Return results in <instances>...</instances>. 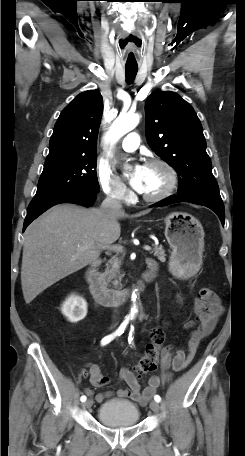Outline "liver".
I'll list each match as a JSON object with an SVG mask.
<instances>
[{
    "instance_id": "6515ba94",
    "label": "liver",
    "mask_w": 245,
    "mask_h": 456,
    "mask_svg": "<svg viewBox=\"0 0 245 456\" xmlns=\"http://www.w3.org/2000/svg\"><path fill=\"white\" fill-rule=\"evenodd\" d=\"M125 217L123 210L62 204L33 221L24 235L21 284L25 302L29 304L54 283L96 260L120 237L118 219Z\"/></svg>"
}]
</instances>
